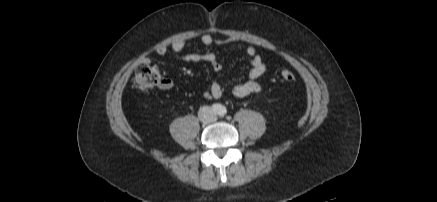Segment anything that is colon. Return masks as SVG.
I'll use <instances>...</instances> for the list:
<instances>
[{
	"label": "colon",
	"instance_id": "obj_1",
	"mask_svg": "<svg viewBox=\"0 0 437 202\" xmlns=\"http://www.w3.org/2000/svg\"><path fill=\"white\" fill-rule=\"evenodd\" d=\"M281 77L287 82L294 81L296 78L294 73L289 70L282 71ZM164 79L157 66L145 62L138 65L135 69L133 85L140 90H149L161 87L164 83Z\"/></svg>",
	"mask_w": 437,
	"mask_h": 202
}]
</instances>
